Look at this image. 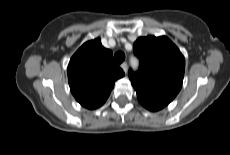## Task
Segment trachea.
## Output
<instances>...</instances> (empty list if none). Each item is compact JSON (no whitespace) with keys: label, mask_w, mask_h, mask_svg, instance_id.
Masks as SVG:
<instances>
[{"label":"trachea","mask_w":230,"mask_h":155,"mask_svg":"<svg viewBox=\"0 0 230 155\" xmlns=\"http://www.w3.org/2000/svg\"><path fill=\"white\" fill-rule=\"evenodd\" d=\"M114 60L116 63L121 64L125 60V54L122 51H118L114 55Z\"/></svg>","instance_id":"obj_1"}]
</instances>
